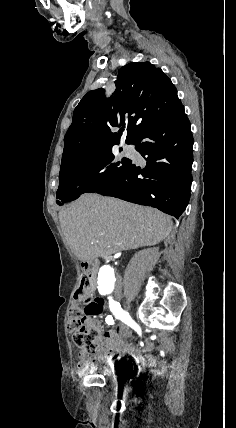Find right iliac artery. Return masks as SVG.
Returning a JSON list of instances; mask_svg holds the SVG:
<instances>
[{"label": "right iliac artery", "mask_w": 236, "mask_h": 428, "mask_svg": "<svg viewBox=\"0 0 236 428\" xmlns=\"http://www.w3.org/2000/svg\"><path fill=\"white\" fill-rule=\"evenodd\" d=\"M109 299V308L110 311L115 315V317L128 326H130L132 329H134L140 336H141V328L139 325L131 318L128 312L124 311L121 308V305L119 302H116L112 299V297H108Z\"/></svg>", "instance_id": "obj_1"}]
</instances>
